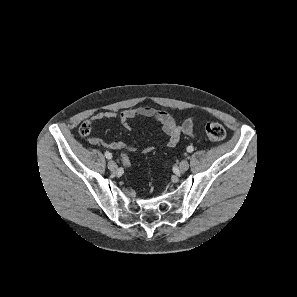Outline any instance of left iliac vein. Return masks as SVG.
Here are the masks:
<instances>
[{"label": "left iliac vein", "mask_w": 297, "mask_h": 297, "mask_svg": "<svg viewBox=\"0 0 297 297\" xmlns=\"http://www.w3.org/2000/svg\"><path fill=\"white\" fill-rule=\"evenodd\" d=\"M188 168H189V163H188V161H187V160H182V161L180 162V164H179V169H180L182 172H184V171L188 170Z\"/></svg>", "instance_id": "4c4485c4"}]
</instances>
